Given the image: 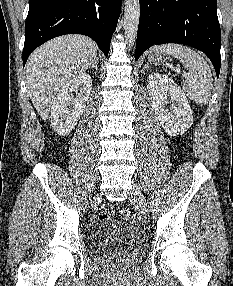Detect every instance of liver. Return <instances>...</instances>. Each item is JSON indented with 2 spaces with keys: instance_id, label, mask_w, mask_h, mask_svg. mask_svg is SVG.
<instances>
[{
  "instance_id": "6515ba94",
  "label": "liver",
  "mask_w": 233,
  "mask_h": 286,
  "mask_svg": "<svg viewBox=\"0 0 233 286\" xmlns=\"http://www.w3.org/2000/svg\"><path fill=\"white\" fill-rule=\"evenodd\" d=\"M96 58V43L82 35L54 38L30 55L26 64L28 94L44 120L59 89L93 65Z\"/></svg>"
}]
</instances>
